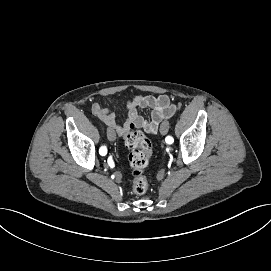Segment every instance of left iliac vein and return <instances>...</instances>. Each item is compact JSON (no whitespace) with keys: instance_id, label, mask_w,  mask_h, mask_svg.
I'll return each instance as SVG.
<instances>
[{"instance_id":"4c4485c4","label":"left iliac vein","mask_w":271,"mask_h":271,"mask_svg":"<svg viewBox=\"0 0 271 271\" xmlns=\"http://www.w3.org/2000/svg\"><path fill=\"white\" fill-rule=\"evenodd\" d=\"M169 130V124L168 122H163L160 126V132L163 135H166L168 133Z\"/></svg>"}]
</instances>
